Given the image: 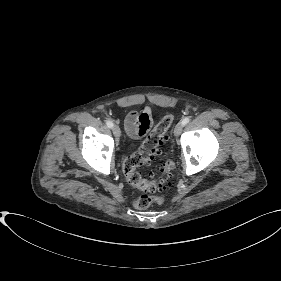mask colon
Returning <instances> with one entry per match:
<instances>
[{
  "instance_id": "5ec220e1",
  "label": "colon",
  "mask_w": 281,
  "mask_h": 281,
  "mask_svg": "<svg viewBox=\"0 0 281 281\" xmlns=\"http://www.w3.org/2000/svg\"><path fill=\"white\" fill-rule=\"evenodd\" d=\"M174 121L173 115L166 116L161 120L147 136L142 146L133 154L125 158L123 173L127 181L143 194L133 198V205L139 209L148 208L153 203H162L160 195L170 184L175 165L171 160H166L161 169L158 179H146L138 171V167L153 161L160 154L161 145L167 140V131Z\"/></svg>"
}]
</instances>
